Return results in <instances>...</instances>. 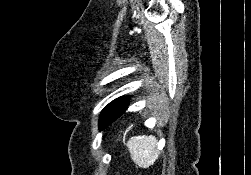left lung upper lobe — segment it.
<instances>
[{"mask_svg":"<svg viewBox=\"0 0 251 175\" xmlns=\"http://www.w3.org/2000/svg\"><path fill=\"white\" fill-rule=\"evenodd\" d=\"M127 102H128L127 98L123 97V98H118V99L114 100L110 104L117 103V104H122L123 105V104H126ZM108 125H110V124H106L105 121L100 118V120H99V130H103Z\"/></svg>","mask_w":251,"mask_h":175,"instance_id":"5c2ea615","label":"left lung upper lobe"}]
</instances>
